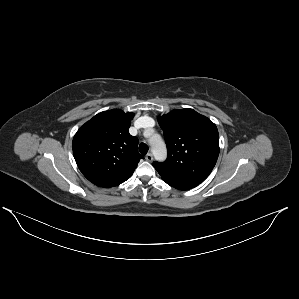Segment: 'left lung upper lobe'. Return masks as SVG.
<instances>
[{
    "label": "left lung upper lobe",
    "instance_id": "left-lung-upper-lobe-1",
    "mask_svg": "<svg viewBox=\"0 0 299 299\" xmlns=\"http://www.w3.org/2000/svg\"><path fill=\"white\" fill-rule=\"evenodd\" d=\"M168 156L153 166L162 179L176 183H202L213 170L219 155L216 125L193 109L173 110L159 116Z\"/></svg>",
    "mask_w": 299,
    "mask_h": 299
}]
</instances>
